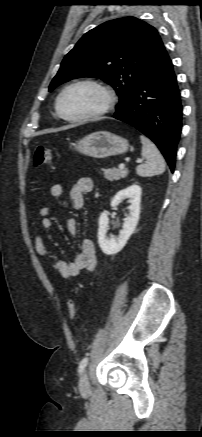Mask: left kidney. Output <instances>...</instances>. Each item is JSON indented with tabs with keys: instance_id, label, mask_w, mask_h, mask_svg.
I'll list each match as a JSON object with an SVG mask.
<instances>
[{
	"instance_id": "5707ae66",
	"label": "left kidney",
	"mask_w": 202,
	"mask_h": 437,
	"mask_svg": "<svg viewBox=\"0 0 202 437\" xmlns=\"http://www.w3.org/2000/svg\"><path fill=\"white\" fill-rule=\"evenodd\" d=\"M128 198L129 215L124 219L123 229L120 231L118 237L113 235L107 236L109 230V218L108 213L103 212L100 215L98 225V243L102 252L106 255H113L123 249L129 240L130 236L134 233L140 216V202H141V187L137 184L120 190L114 196L111 201V206L115 207L121 203L124 199Z\"/></svg>"
}]
</instances>
